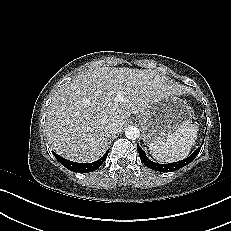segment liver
I'll use <instances>...</instances> for the list:
<instances>
[{
	"label": "liver",
	"instance_id": "1",
	"mask_svg": "<svg viewBox=\"0 0 231 231\" xmlns=\"http://www.w3.org/2000/svg\"><path fill=\"white\" fill-rule=\"evenodd\" d=\"M184 91L153 70L97 68L58 90L47 112L46 136L66 159L93 162L106 151L112 136L108 125L116 124L121 131L132 113L143 114L159 98ZM118 94L122 101L116 100Z\"/></svg>",
	"mask_w": 231,
	"mask_h": 231
}]
</instances>
